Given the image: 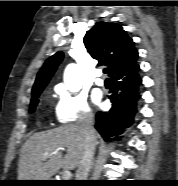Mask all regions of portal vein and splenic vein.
Returning a JSON list of instances; mask_svg holds the SVG:
<instances>
[{
	"mask_svg": "<svg viewBox=\"0 0 178 186\" xmlns=\"http://www.w3.org/2000/svg\"><path fill=\"white\" fill-rule=\"evenodd\" d=\"M54 152L51 153H46L43 157V159H47L49 157H51L52 155H54ZM72 176L71 172L69 170H65L62 174V179L63 180H70V177Z\"/></svg>",
	"mask_w": 178,
	"mask_h": 186,
	"instance_id": "1",
	"label": "portal vein and splenic vein"
}]
</instances>
